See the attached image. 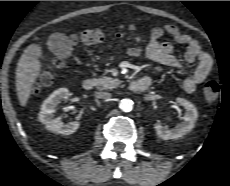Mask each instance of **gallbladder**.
Here are the masks:
<instances>
[{
  "mask_svg": "<svg viewBox=\"0 0 230 186\" xmlns=\"http://www.w3.org/2000/svg\"><path fill=\"white\" fill-rule=\"evenodd\" d=\"M49 50L59 58H66L71 54V44L67 36L55 33L48 40Z\"/></svg>",
  "mask_w": 230,
  "mask_h": 186,
  "instance_id": "obj_1",
  "label": "gallbladder"
}]
</instances>
